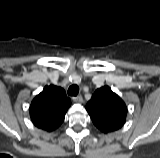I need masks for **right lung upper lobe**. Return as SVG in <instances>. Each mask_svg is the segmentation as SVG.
Here are the masks:
<instances>
[{"instance_id": "obj_1", "label": "right lung upper lobe", "mask_w": 160, "mask_h": 158, "mask_svg": "<svg viewBox=\"0 0 160 158\" xmlns=\"http://www.w3.org/2000/svg\"><path fill=\"white\" fill-rule=\"evenodd\" d=\"M71 105L63 88L54 85L45 86L31 102L29 111L33 124L45 131L57 129L64 121Z\"/></svg>"}]
</instances>
